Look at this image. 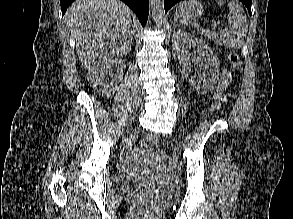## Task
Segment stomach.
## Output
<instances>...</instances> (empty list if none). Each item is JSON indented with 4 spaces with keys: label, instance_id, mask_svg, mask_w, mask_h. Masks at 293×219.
I'll use <instances>...</instances> for the list:
<instances>
[{
    "label": "stomach",
    "instance_id": "obj_1",
    "mask_svg": "<svg viewBox=\"0 0 293 219\" xmlns=\"http://www.w3.org/2000/svg\"><path fill=\"white\" fill-rule=\"evenodd\" d=\"M203 14V6L198 0H187L176 8V16L183 21L196 20Z\"/></svg>",
    "mask_w": 293,
    "mask_h": 219
}]
</instances>
